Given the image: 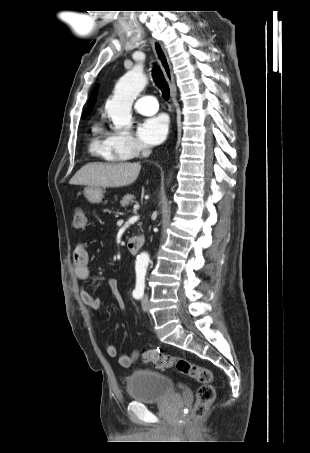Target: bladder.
<instances>
[{
  "label": "bladder",
  "instance_id": "31cf9c89",
  "mask_svg": "<svg viewBox=\"0 0 310 453\" xmlns=\"http://www.w3.org/2000/svg\"><path fill=\"white\" fill-rule=\"evenodd\" d=\"M130 399L139 403H154L174 395L173 381L165 374L152 370L133 371L126 380Z\"/></svg>",
  "mask_w": 310,
  "mask_h": 453
}]
</instances>
